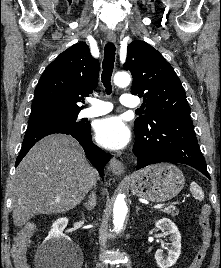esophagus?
I'll list each match as a JSON object with an SVG mask.
<instances>
[{"label": "esophagus", "mask_w": 221, "mask_h": 268, "mask_svg": "<svg viewBox=\"0 0 221 268\" xmlns=\"http://www.w3.org/2000/svg\"><path fill=\"white\" fill-rule=\"evenodd\" d=\"M108 40L110 42H115L116 41V35L115 34H108L107 36ZM110 169L111 171L117 175V176H121L124 173V165L121 161H119L118 159H116L115 157H113L110 160Z\"/></svg>", "instance_id": "esophagus-1"}]
</instances>
